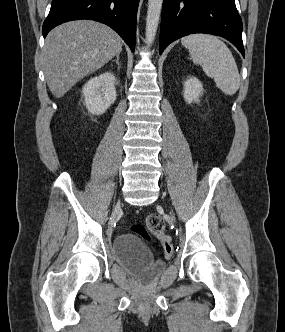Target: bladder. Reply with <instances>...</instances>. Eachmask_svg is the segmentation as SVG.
<instances>
[{
    "label": "bladder",
    "mask_w": 285,
    "mask_h": 332,
    "mask_svg": "<svg viewBox=\"0 0 285 332\" xmlns=\"http://www.w3.org/2000/svg\"><path fill=\"white\" fill-rule=\"evenodd\" d=\"M112 254L120 266L143 280L151 279L165 268V263L155 259L134 234L124 233L115 237Z\"/></svg>",
    "instance_id": "31cf9c89"
}]
</instances>
